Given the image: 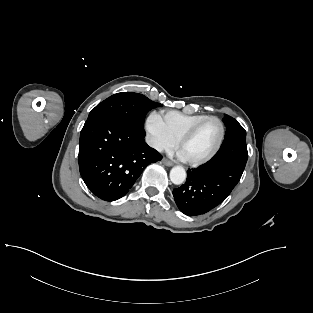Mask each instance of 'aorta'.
<instances>
[{
	"label": "aorta",
	"mask_w": 313,
	"mask_h": 313,
	"mask_svg": "<svg viewBox=\"0 0 313 313\" xmlns=\"http://www.w3.org/2000/svg\"><path fill=\"white\" fill-rule=\"evenodd\" d=\"M170 180L175 185H180L186 180V171L182 166H175L170 171Z\"/></svg>",
	"instance_id": "762f6f07"
}]
</instances>
